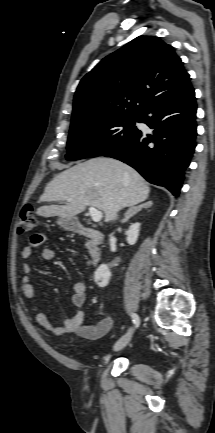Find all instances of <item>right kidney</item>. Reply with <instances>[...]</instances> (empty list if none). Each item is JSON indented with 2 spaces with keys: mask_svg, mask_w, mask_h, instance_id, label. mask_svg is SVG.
Masks as SVG:
<instances>
[{
  "mask_svg": "<svg viewBox=\"0 0 215 433\" xmlns=\"http://www.w3.org/2000/svg\"><path fill=\"white\" fill-rule=\"evenodd\" d=\"M140 230V223H134L129 227L127 233V242L130 245H134L138 239ZM111 277L110 270L107 265H100L94 273L95 282L100 287H105L109 283Z\"/></svg>",
  "mask_w": 215,
  "mask_h": 433,
  "instance_id": "right-kidney-1",
  "label": "right kidney"
}]
</instances>
